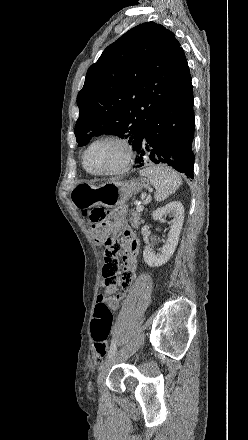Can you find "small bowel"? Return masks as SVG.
<instances>
[{
  "instance_id": "c3829d8e",
  "label": "small bowel",
  "mask_w": 248,
  "mask_h": 440,
  "mask_svg": "<svg viewBox=\"0 0 248 440\" xmlns=\"http://www.w3.org/2000/svg\"><path fill=\"white\" fill-rule=\"evenodd\" d=\"M114 223L117 227L123 228L125 236V251L123 255L124 263L121 264L119 257H103L102 259V278L101 288L105 289L109 296L100 295L98 303L106 304L111 310H117L127 290L132 282V278L137 269V254L139 252V241L132 230L125 224V210L118 209L114 213ZM124 270L121 273L120 270ZM122 287V292L115 294ZM115 294V295H112Z\"/></svg>"
}]
</instances>
